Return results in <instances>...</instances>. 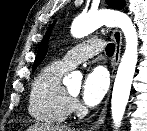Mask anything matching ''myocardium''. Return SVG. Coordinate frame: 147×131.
<instances>
[{
  "label": "myocardium",
  "mask_w": 147,
  "mask_h": 131,
  "mask_svg": "<svg viewBox=\"0 0 147 131\" xmlns=\"http://www.w3.org/2000/svg\"><path fill=\"white\" fill-rule=\"evenodd\" d=\"M66 93L69 96V98H74L75 94L71 93L69 90L66 89Z\"/></svg>",
  "instance_id": "f54148a6"
}]
</instances>
